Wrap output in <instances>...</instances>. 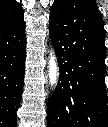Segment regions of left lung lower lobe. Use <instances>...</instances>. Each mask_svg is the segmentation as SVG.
Here are the masks:
<instances>
[{"label":"left lung lower lobe","instance_id":"obj_1","mask_svg":"<svg viewBox=\"0 0 108 127\" xmlns=\"http://www.w3.org/2000/svg\"><path fill=\"white\" fill-rule=\"evenodd\" d=\"M50 38L59 64V83L48 102V127H108L105 86V29L95 0H55ZM76 65V84L67 67Z\"/></svg>","mask_w":108,"mask_h":127}]
</instances>
